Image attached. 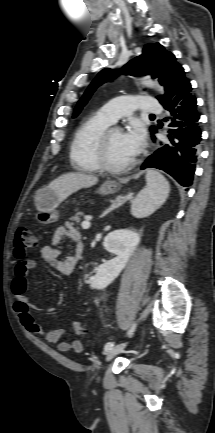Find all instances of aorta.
I'll list each match as a JSON object with an SVG mask.
<instances>
[{
  "instance_id": "aorta-1",
  "label": "aorta",
  "mask_w": 215,
  "mask_h": 433,
  "mask_svg": "<svg viewBox=\"0 0 215 433\" xmlns=\"http://www.w3.org/2000/svg\"><path fill=\"white\" fill-rule=\"evenodd\" d=\"M142 84H143L144 86H147V87H159V85H158L157 82L152 81V80H149V79H147V80H143V81H142Z\"/></svg>"
}]
</instances>
